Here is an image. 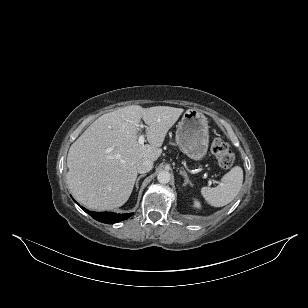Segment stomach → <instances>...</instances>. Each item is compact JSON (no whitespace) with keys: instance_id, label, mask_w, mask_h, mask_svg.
<instances>
[{"instance_id":"1","label":"stomach","mask_w":308,"mask_h":308,"mask_svg":"<svg viewBox=\"0 0 308 308\" xmlns=\"http://www.w3.org/2000/svg\"><path fill=\"white\" fill-rule=\"evenodd\" d=\"M176 141L183 153L194 160L207 154L209 125L206 116L197 109L187 110L176 130Z\"/></svg>"}]
</instances>
